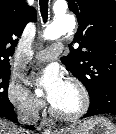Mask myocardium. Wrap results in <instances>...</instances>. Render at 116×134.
<instances>
[{
	"instance_id": "myocardium-1",
	"label": "myocardium",
	"mask_w": 116,
	"mask_h": 134,
	"mask_svg": "<svg viewBox=\"0 0 116 134\" xmlns=\"http://www.w3.org/2000/svg\"><path fill=\"white\" fill-rule=\"evenodd\" d=\"M67 85L70 86L78 96V107L72 112H62L53 105L50 108L51 113L64 121H75L84 116L90 106V96L85 86L77 80H69Z\"/></svg>"
}]
</instances>
